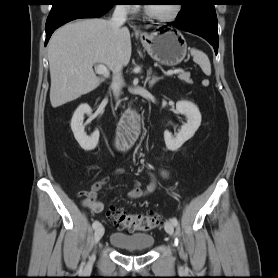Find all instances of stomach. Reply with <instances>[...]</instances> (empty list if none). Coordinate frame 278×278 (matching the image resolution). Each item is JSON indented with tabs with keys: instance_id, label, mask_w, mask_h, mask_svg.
Here are the masks:
<instances>
[{
	"instance_id": "stomach-1",
	"label": "stomach",
	"mask_w": 278,
	"mask_h": 278,
	"mask_svg": "<svg viewBox=\"0 0 278 278\" xmlns=\"http://www.w3.org/2000/svg\"><path fill=\"white\" fill-rule=\"evenodd\" d=\"M140 40L150 57L166 66L178 65L187 53L183 35L170 29L141 35Z\"/></svg>"
}]
</instances>
